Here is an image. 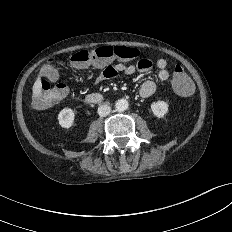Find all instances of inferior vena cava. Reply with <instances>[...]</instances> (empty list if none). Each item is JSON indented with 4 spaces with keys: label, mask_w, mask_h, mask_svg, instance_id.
I'll use <instances>...</instances> for the list:
<instances>
[{
    "label": "inferior vena cava",
    "mask_w": 232,
    "mask_h": 232,
    "mask_svg": "<svg viewBox=\"0 0 232 232\" xmlns=\"http://www.w3.org/2000/svg\"><path fill=\"white\" fill-rule=\"evenodd\" d=\"M110 111H111V107L108 105L104 104V105H100L98 107V114L101 117H105V116L109 115Z\"/></svg>",
    "instance_id": "obj_1"
}]
</instances>
